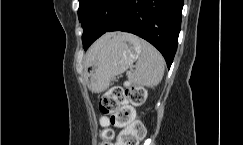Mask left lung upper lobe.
<instances>
[{
  "label": "left lung upper lobe",
  "instance_id": "1",
  "mask_svg": "<svg viewBox=\"0 0 243 145\" xmlns=\"http://www.w3.org/2000/svg\"><path fill=\"white\" fill-rule=\"evenodd\" d=\"M125 0H79L78 17L84 29L82 41L86 35L89 19L110 22L118 14Z\"/></svg>",
  "mask_w": 243,
  "mask_h": 145
}]
</instances>
